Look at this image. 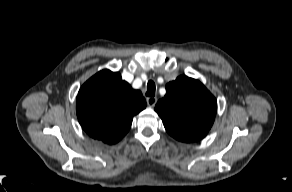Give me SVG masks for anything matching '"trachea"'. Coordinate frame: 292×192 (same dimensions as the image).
Wrapping results in <instances>:
<instances>
[{"label":"trachea","instance_id":"3493384b","mask_svg":"<svg viewBox=\"0 0 292 192\" xmlns=\"http://www.w3.org/2000/svg\"><path fill=\"white\" fill-rule=\"evenodd\" d=\"M155 90H156L155 83L153 81H149L148 84H147L146 95L148 97H154L155 96Z\"/></svg>","mask_w":292,"mask_h":192}]
</instances>
